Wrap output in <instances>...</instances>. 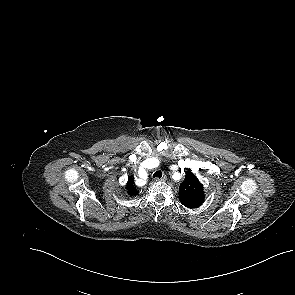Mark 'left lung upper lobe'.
Here are the masks:
<instances>
[{
    "label": "left lung upper lobe",
    "mask_w": 295,
    "mask_h": 295,
    "mask_svg": "<svg viewBox=\"0 0 295 295\" xmlns=\"http://www.w3.org/2000/svg\"><path fill=\"white\" fill-rule=\"evenodd\" d=\"M179 200L188 208H197L204 202L203 185L190 170L187 171L184 181L180 184Z\"/></svg>",
    "instance_id": "obj_1"
}]
</instances>
